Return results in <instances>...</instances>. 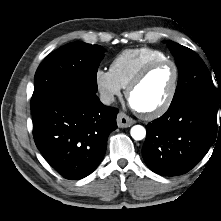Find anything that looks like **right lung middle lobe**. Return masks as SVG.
<instances>
[{"instance_id":"dd1d6c3e","label":"right lung middle lobe","mask_w":221,"mask_h":221,"mask_svg":"<svg viewBox=\"0 0 221 221\" xmlns=\"http://www.w3.org/2000/svg\"><path fill=\"white\" fill-rule=\"evenodd\" d=\"M104 52L99 45L73 42L49 54L35 74L31 111L51 94L67 87L96 93V74Z\"/></svg>"}]
</instances>
